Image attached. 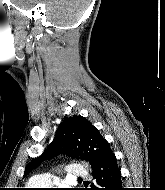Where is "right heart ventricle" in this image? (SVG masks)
I'll list each match as a JSON object with an SVG mask.
<instances>
[{
    "mask_svg": "<svg viewBox=\"0 0 165 190\" xmlns=\"http://www.w3.org/2000/svg\"><path fill=\"white\" fill-rule=\"evenodd\" d=\"M39 184L35 183L34 181L30 182V186H37Z\"/></svg>",
    "mask_w": 165,
    "mask_h": 190,
    "instance_id": "obj_1",
    "label": "right heart ventricle"
}]
</instances>
